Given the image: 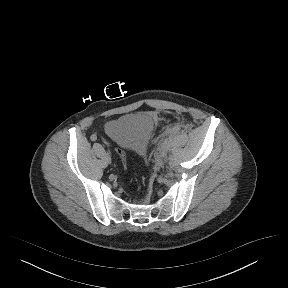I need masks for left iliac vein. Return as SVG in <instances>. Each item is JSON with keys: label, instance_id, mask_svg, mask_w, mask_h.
Returning <instances> with one entry per match:
<instances>
[{"label": "left iliac vein", "instance_id": "1", "mask_svg": "<svg viewBox=\"0 0 288 288\" xmlns=\"http://www.w3.org/2000/svg\"><path fill=\"white\" fill-rule=\"evenodd\" d=\"M165 158H166V153L163 151V152L161 153V159L164 160Z\"/></svg>", "mask_w": 288, "mask_h": 288}]
</instances>
